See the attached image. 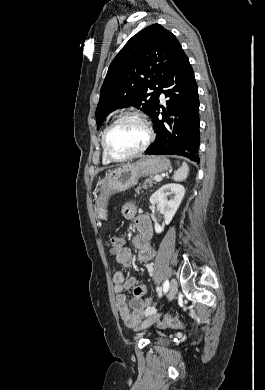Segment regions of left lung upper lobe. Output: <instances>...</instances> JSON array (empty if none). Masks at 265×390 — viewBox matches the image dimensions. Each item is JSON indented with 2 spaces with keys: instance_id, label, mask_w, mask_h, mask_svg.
Returning a JSON list of instances; mask_svg holds the SVG:
<instances>
[{
  "instance_id": "obj_1",
  "label": "left lung upper lobe",
  "mask_w": 265,
  "mask_h": 390,
  "mask_svg": "<svg viewBox=\"0 0 265 390\" xmlns=\"http://www.w3.org/2000/svg\"><path fill=\"white\" fill-rule=\"evenodd\" d=\"M182 53L177 38L160 24L134 35L109 66L96 109L98 127L109 113L129 106L152 118L159 90Z\"/></svg>"
}]
</instances>
